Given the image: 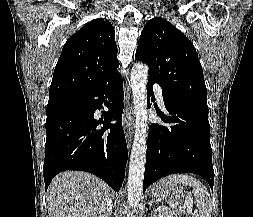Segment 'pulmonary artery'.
<instances>
[{"instance_id":"e3ab8cb5","label":"pulmonary artery","mask_w":253,"mask_h":217,"mask_svg":"<svg viewBox=\"0 0 253 217\" xmlns=\"http://www.w3.org/2000/svg\"><path fill=\"white\" fill-rule=\"evenodd\" d=\"M154 92L157 98L158 103L161 106H164L163 90L159 85H154Z\"/></svg>"}]
</instances>
